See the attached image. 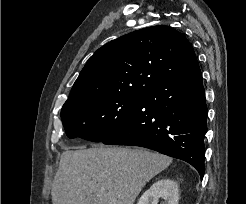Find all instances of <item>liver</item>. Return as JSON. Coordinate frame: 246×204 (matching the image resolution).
Wrapping results in <instances>:
<instances>
[{
	"instance_id": "1",
	"label": "liver",
	"mask_w": 246,
	"mask_h": 204,
	"mask_svg": "<svg viewBox=\"0 0 246 204\" xmlns=\"http://www.w3.org/2000/svg\"><path fill=\"white\" fill-rule=\"evenodd\" d=\"M171 163V157L146 149H67L53 180L52 204H134L145 184Z\"/></svg>"
}]
</instances>
